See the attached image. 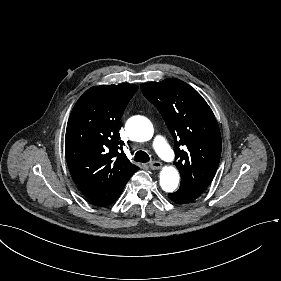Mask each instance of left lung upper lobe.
Instances as JSON below:
<instances>
[{
  "label": "left lung upper lobe",
  "mask_w": 281,
  "mask_h": 281,
  "mask_svg": "<svg viewBox=\"0 0 281 281\" xmlns=\"http://www.w3.org/2000/svg\"><path fill=\"white\" fill-rule=\"evenodd\" d=\"M143 95L162 114L175 139L174 164L181 186L202 194L212 181L221 156L215 116L202 96L187 83L168 78L141 85Z\"/></svg>",
  "instance_id": "1"
}]
</instances>
